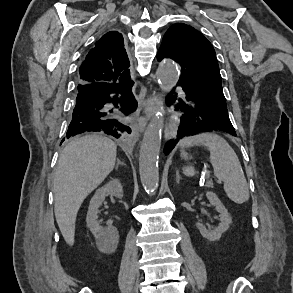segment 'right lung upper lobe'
<instances>
[{"instance_id": "right-lung-upper-lobe-1", "label": "right lung upper lobe", "mask_w": 293, "mask_h": 293, "mask_svg": "<svg viewBox=\"0 0 293 293\" xmlns=\"http://www.w3.org/2000/svg\"><path fill=\"white\" fill-rule=\"evenodd\" d=\"M129 59L124 39L116 31L104 34L86 56L79 69L80 84L130 80Z\"/></svg>"}]
</instances>
